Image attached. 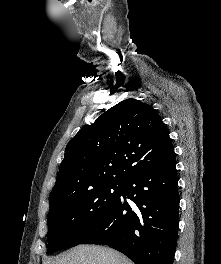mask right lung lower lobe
<instances>
[{"mask_svg":"<svg viewBox=\"0 0 221 264\" xmlns=\"http://www.w3.org/2000/svg\"><path fill=\"white\" fill-rule=\"evenodd\" d=\"M120 196L124 201L80 244L108 245L135 264H173L180 200L175 154L128 177Z\"/></svg>","mask_w":221,"mask_h":264,"instance_id":"obj_1","label":"right lung lower lobe"}]
</instances>
